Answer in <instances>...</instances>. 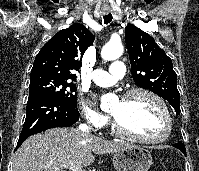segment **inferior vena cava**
Segmentation results:
<instances>
[{"label":"inferior vena cava","mask_w":199,"mask_h":171,"mask_svg":"<svg viewBox=\"0 0 199 171\" xmlns=\"http://www.w3.org/2000/svg\"><path fill=\"white\" fill-rule=\"evenodd\" d=\"M79 130L88 133L90 131V128L86 124H80Z\"/></svg>","instance_id":"602c4592"}]
</instances>
